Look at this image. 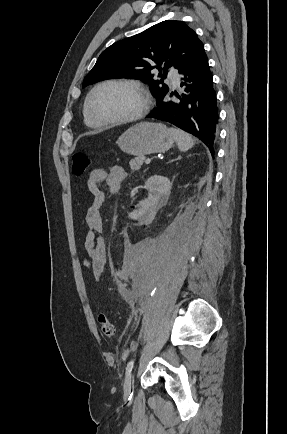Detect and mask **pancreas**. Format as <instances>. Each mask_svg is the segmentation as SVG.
<instances>
[{
  "label": "pancreas",
  "mask_w": 287,
  "mask_h": 434,
  "mask_svg": "<svg viewBox=\"0 0 287 434\" xmlns=\"http://www.w3.org/2000/svg\"><path fill=\"white\" fill-rule=\"evenodd\" d=\"M144 160H145L144 156H138V157L132 159V160L129 162L130 167H131V170H132V171H137V170H139V169L141 168V166H142Z\"/></svg>",
  "instance_id": "pancreas-1"
}]
</instances>
